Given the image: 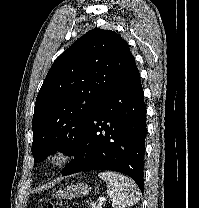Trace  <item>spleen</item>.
<instances>
[{"label": "spleen", "mask_w": 199, "mask_h": 208, "mask_svg": "<svg viewBox=\"0 0 199 208\" xmlns=\"http://www.w3.org/2000/svg\"><path fill=\"white\" fill-rule=\"evenodd\" d=\"M98 176L107 184V194L113 208H124L140 200V192L128 177L111 171L100 172Z\"/></svg>", "instance_id": "1"}]
</instances>
